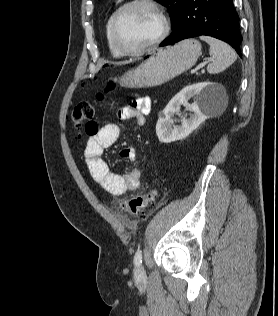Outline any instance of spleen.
Listing matches in <instances>:
<instances>
[{
	"label": "spleen",
	"instance_id": "obj_1",
	"mask_svg": "<svg viewBox=\"0 0 278 316\" xmlns=\"http://www.w3.org/2000/svg\"><path fill=\"white\" fill-rule=\"evenodd\" d=\"M200 39L210 46L209 53L213 60L207 66L209 73H219L236 61V53L228 44L209 36H200Z\"/></svg>",
	"mask_w": 278,
	"mask_h": 316
}]
</instances>
